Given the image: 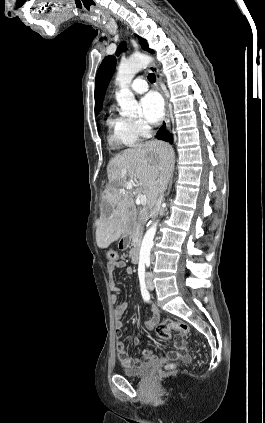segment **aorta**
Returning a JSON list of instances; mask_svg holds the SVG:
<instances>
[{
    "mask_svg": "<svg viewBox=\"0 0 265 423\" xmlns=\"http://www.w3.org/2000/svg\"><path fill=\"white\" fill-rule=\"evenodd\" d=\"M152 57L144 54L132 55L127 61L122 62L118 67L116 82L119 85V91L116 93V100L121 108V115L135 116L139 109L138 102L134 94L129 89V85L134 76L151 61ZM158 221L153 223L146 231L139 253V263L149 264L150 253L153 246V240L156 234Z\"/></svg>",
    "mask_w": 265,
    "mask_h": 423,
    "instance_id": "obj_1",
    "label": "aorta"
}]
</instances>
